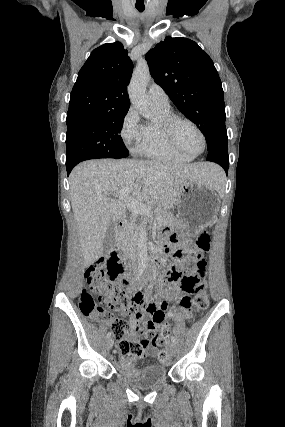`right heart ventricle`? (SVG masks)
I'll list each match as a JSON object with an SVG mask.
<instances>
[{"instance_id": "e07e8e85", "label": "right heart ventricle", "mask_w": 285, "mask_h": 427, "mask_svg": "<svg viewBox=\"0 0 285 427\" xmlns=\"http://www.w3.org/2000/svg\"><path fill=\"white\" fill-rule=\"evenodd\" d=\"M154 106L161 117L173 114L169 106ZM137 153L162 162L187 163L191 161V158L178 153L170 146L161 132L158 122H148L144 125V135Z\"/></svg>"}]
</instances>
